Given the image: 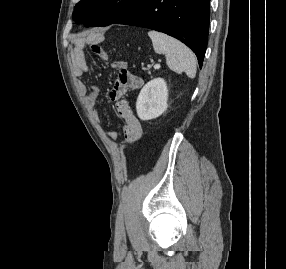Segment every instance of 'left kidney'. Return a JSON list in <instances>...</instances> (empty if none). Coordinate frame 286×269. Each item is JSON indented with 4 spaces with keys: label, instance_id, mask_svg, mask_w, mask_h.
Segmentation results:
<instances>
[{
    "label": "left kidney",
    "instance_id": "5707ae66",
    "mask_svg": "<svg viewBox=\"0 0 286 269\" xmlns=\"http://www.w3.org/2000/svg\"><path fill=\"white\" fill-rule=\"evenodd\" d=\"M168 89L162 78L149 81L140 91L136 102L137 115L141 120L155 119L168 107Z\"/></svg>",
    "mask_w": 286,
    "mask_h": 269
}]
</instances>
